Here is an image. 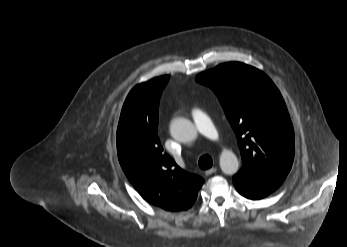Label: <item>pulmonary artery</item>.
Returning <instances> with one entry per match:
<instances>
[{"label": "pulmonary artery", "instance_id": "1", "mask_svg": "<svg viewBox=\"0 0 347 247\" xmlns=\"http://www.w3.org/2000/svg\"><path fill=\"white\" fill-rule=\"evenodd\" d=\"M192 118L201 135L214 141L219 139V133L214 123L204 111L199 108L193 109Z\"/></svg>", "mask_w": 347, "mask_h": 247}]
</instances>
